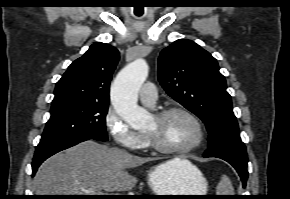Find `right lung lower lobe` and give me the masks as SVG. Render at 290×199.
I'll return each instance as SVG.
<instances>
[{"instance_id":"1","label":"right lung lower lobe","mask_w":290,"mask_h":199,"mask_svg":"<svg viewBox=\"0 0 290 199\" xmlns=\"http://www.w3.org/2000/svg\"><path fill=\"white\" fill-rule=\"evenodd\" d=\"M88 139L100 140L94 137H84V138H77L70 141H62V142L53 143V144L38 145L36 147L35 155L32 161V170H33L32 176H34L40 164L44 160H46L48 157ZM100 141H103V140H100Z\"/></svg>"}]
</instances>
